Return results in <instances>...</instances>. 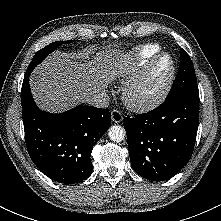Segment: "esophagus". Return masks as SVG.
Returning a JSON list of instances; mask_svg holds the SVG:
<instances>
[{
  "label": "esophagus",
  "instance_id": "1",
  "mask_svg": "<svg viewBox=\"0 0 221 221\" xmlns=\"http://www.w3.org/2000/svg\"><path fill=\"white\" fill-rule=\"evenodd\" d=\"M111 118L115 123H120L123 120V115L118 110H112L111 111Z\"/></svg>",
  "mask_w": 221,
  "mask_h": 221
}]
</instances>
